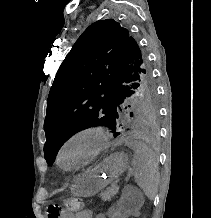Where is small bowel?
Returning a JSON list of instances; mask_svg holds the SVG:
<instances>
[{
	"label": "small bowel",
	"mask_w": 211,
	"mask_h": 218,
	"mask_svg": "<svg viewBox=\"0 0 211 218\" xmlns=\"http://www.w3.org/2000/svg\"><path fill=\"white\" fill-rule=\"evenodd\" d=\"M136 215L132 208L120 201L112 205L105 214H94L92 210L83 209L77 212L74 218H132Z\"/></svg>",
	"instance_id": "obj_1"
}]
</instances>
